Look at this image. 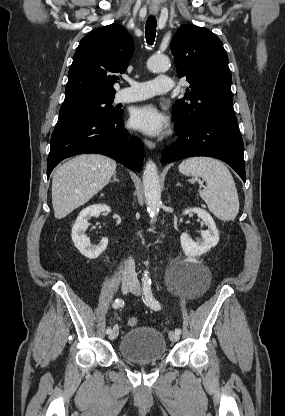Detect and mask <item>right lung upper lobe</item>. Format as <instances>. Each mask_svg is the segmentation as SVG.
<instances>
[{"instance_id":"obj_1","label":"right lung upper lobe","mask_w":285,"mask_h":416,"mask_svg":"<svg viewBox=\"0 0 285 416\" xmlns=\"http://www.w3.org/2000/svg\"><path fill=\"white\" fill-rule=\"evenodd\" d=\"M133 38L119 24L94 29L80 42L69 69L65 100L111 98L114 83L127 69Z\"/></svg>"}]
</instances>
